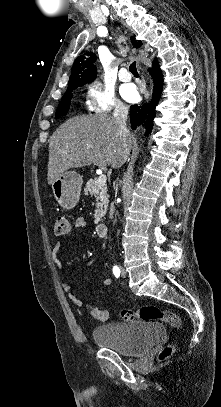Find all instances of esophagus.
Returning a JSON list of instances; mask_svg holds the SVG:
<instances>
[{
	"label": "esophagus",
	"mask_w": 221,
	"mask_h": 407,
	"mask_svg": "<svg viewBox=\"0 0 221 407\" xmlns=\"http://www.w3.org/2000/svg\"><path fill=\"white\" fill-rule=\"evenodd\" d=\"M150 95H151V93H148V92H147V93L145 94V99L148 100V99L150 98Z\"/></svg>",
	"instance_id": "obj_1"
}]
</instances>
